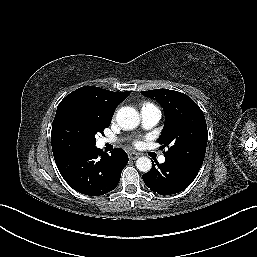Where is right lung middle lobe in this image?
I'll use <instances>...</instances> for the list:
<instances>
[{
    "label": "right lung middle lobe",
    "mask_w": 257,
    "mask_h": 257,
    "mask_svg": "<svg viewBox=\"0 0 257 257\" xmlns=\"http://www.w3.org/2000/svg\"><path fill=\"white\" fill-rule=\"evenodd\" d=\"M63 121L66 125L65 141L78 148H93L95 135L107 128L111 118L81 104H72L65 110Z\"/></svg>",
    "instance_id": "right-lung-middle-lobe-1"
}]
</instances>
